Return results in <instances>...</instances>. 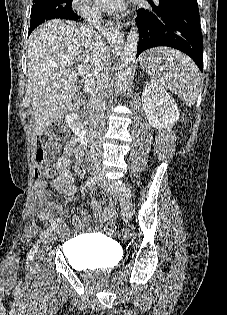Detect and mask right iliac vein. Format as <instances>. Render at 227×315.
Returning a JSON list of instances; mask_svg holds the SVG:
<instances>
[{
	"instance_id": "right-iliac-vein-1",
	"label": "right iliac vein",
	"mask_w": 227,
	"mask_h": 315,
	"mask_svg": "<svg viewBox=\"0 0 227 315\" xmlns=\"http://www.w3.org/2000/svg\"><path fill=\"white\" fill-rule=\"evenodd\" d=\"M92 174H95V171H92ZM62 231V228H57L51 235L50 238H48L45 247L51 243H53L55 241V239L57 238V236L60 234V232ZM44 257V250L40 249L37 253H36V257L34 259V266L35 267H39L40 264L42 263Z\"/></svg>"
}]
</instances>
